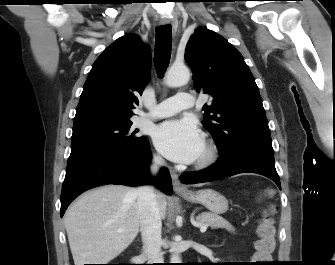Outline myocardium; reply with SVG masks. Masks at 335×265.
Wrapping results in <instances>:
<instances>
[{
  "instance_id": "f54148a6",
  "label": "myocardium",
  "mask_w": 335,
  "mask_h": 265,
  "mask_svg": "<svg viewBox=\"0 0 335 265\" xmlns=\"http://www.w3.org/2000/svg\"><path fill=\"white\" fill-rule=\"evenodd\" d=\"M219 157V148L217 144L212 140H207L204 143V153L200 156L196 163L195 167L197 169H206L212 166Z\"/></svg>"
}]
</instances>
